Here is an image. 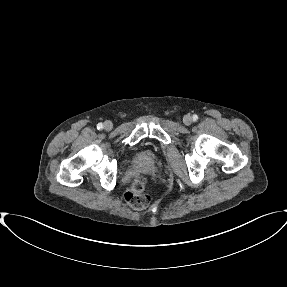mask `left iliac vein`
Wrapping results in <instances>:
<instances>
[{
	"mask_svg": "<svg viewBox=\"0 0 287 287\" xmlns=\"http://www.w3.org/2000/svg\"><path fill=\"white\" fill-rule=\"evenodd\" d=\"M183 122L185 125H190L192 123V118L189 115L184 116Z\"/></svg>",
	"mask_w": 287,
	"mask_h": 287,
	"instance_id": "1",
	"label": "left iliac vein"
}]
</instances>
